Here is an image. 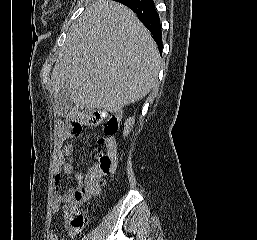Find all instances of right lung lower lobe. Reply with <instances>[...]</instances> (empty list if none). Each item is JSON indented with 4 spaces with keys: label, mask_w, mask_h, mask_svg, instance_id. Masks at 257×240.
Segmentation results:
<instances>
[{
    "label": "right lung lower lobe",
    "mask_w": 257,
    "mask_h": 240,
    "mask_svg": "<svg viewBox=\"0 0 257 240\" xmlns=\"http://www.w3.org/2000/svg\"><path fill=\"white\" fill-rule=\"evenodd\" d=\"M124 5L132 9L141 22L153 34V39L162 52V33L159 15L155 9L153 0H127Z\"/></svg>",
    "instance_id": "right-lung-lower-lobe-1"
}]
</instances>
